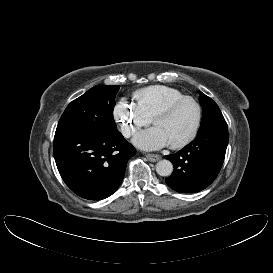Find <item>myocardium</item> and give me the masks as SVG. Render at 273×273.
I'll list each match as a JSON object with an SVG mask.
<instances>
[{
  "label": "myocardium",
  "mask_w": 273,
  "mask_h": 273,
  "mask_svg": "<svg viewBox=\"0 0 273 273\" xmlns=\"http://www.w3.org/2000/svg\"><path fill=\"white\" fill-rule=\"evenodd\" d=\"M185 101H190L195 105L196 110H197L196 122H195L192 132L189 134V136L186 139H184L183 141H181L177 144H173V145L169 144V146L172 149H182V148L186 147L187 145H189L196 138V136L199 132L200 126H201V121H202V109H201L200 104L198 103V101L196 99H194L191 96H183L177 100H174V101L168 103L152 119V123H153V125H155L157 120L168 117L179 104H181Z\"/></svg>",
  "instance_id": "myocardium-1"
}]
</instances>
